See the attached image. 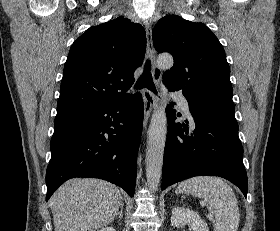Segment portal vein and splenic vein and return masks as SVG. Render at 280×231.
I'll return each instance as SVG.
<instances>
[{"label":"portal vein and splenic vein","mask_w":280,"mask_h":231,"mask_svg":"<svg viewBox=\"0 0 280 231\" xmlns=\"http://www.w3.org/2000/svg\"><path fill=\"white\" fill-rule=\"evenodd\" d=\"M207 217H209V219H213V213H210V215H207Z\"/></svg>","instance_id":"obj_1"}]
</instances>
